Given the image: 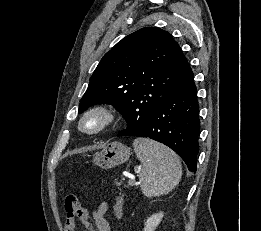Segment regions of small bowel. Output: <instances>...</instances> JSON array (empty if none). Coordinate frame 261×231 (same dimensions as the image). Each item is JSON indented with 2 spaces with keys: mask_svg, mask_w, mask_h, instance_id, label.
Wrapping results in <instances>:
<instances>
[{
  "mask_svg": "<svg viewBox=\"0 0 261 231\" xmlns=\"http://www.w3.org/2000/svg\"><path fill=\"white\" fill-rule=\"evenodd\" d=\"M100 184H103L101 182ZM108 206L105 202L98 205L92 215L93 225L95 227L94 231H111V227L105 218ZM84 213L87 219L90 220V212L88 209H84ZM64 231H77L75 220L65 221Z\"/></svg>",
  "mask_w": 261,
  "mask_h": 231,
  "instance_id": "obj_1",
  "label": "small bowel"
}]
</instances>
